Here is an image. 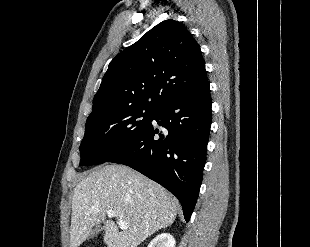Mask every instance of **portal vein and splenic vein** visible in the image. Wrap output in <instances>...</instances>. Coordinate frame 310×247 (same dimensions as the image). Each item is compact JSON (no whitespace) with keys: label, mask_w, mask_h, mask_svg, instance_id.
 <instances>
[{"label":"portal vein and splenic vein","mask_w":310,"mask_h":247,"mask_svg":"<svg viewBox=\"0 0 310 247\" xmlns=\"http://www.w3.org/2000/svg\"><path fill=\"white\" fill-rule=\"evenodd\" d=\"M107 216H108L109 218H114V217L116 216L115 211H113V210H108V211H107ZM117 223H118V225H119V227H120L121 229H126V228H127V223H126L125 221L119 220Z\"/></svg>","instance_id":"1"}]
</instances>
